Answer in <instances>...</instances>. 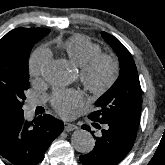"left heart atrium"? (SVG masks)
<instances>
[{
  "mask_svg": "<svg viewBox=\"0 0 165 165\" xmlns=\"http://www.w3.org/2000/svg\"><path fill=\"white\" fill-rule=\"evenodd\" d=\"M84 96L79 91H63L58 92L52 99V105L55 110L62 116L68 117L73 111L81 106Z\"/></svg>",
  "mask_w": 165,
  "mask_h": 165,
  "instance_id": "obj_1",
  "label": "left heart atrium"
}]
</instances>
